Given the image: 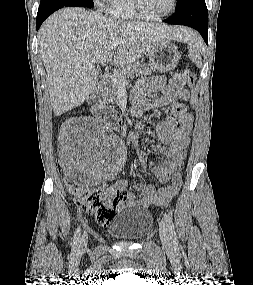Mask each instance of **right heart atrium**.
Returning a JSON list of instances; mask_svg holds the SVG:
<instances>
[{
	"label": "right heart atrium",
	"mask_w": 253,
	"mask_h": 285,
	"mask_svg": "<svg viewBox=\"0 0 253 285\" xmlns=\"http://www.w3.org/2000/svg\"><path fill=\"white\" fill-rule=\"evenodd\" d=\"M93 1L99 9L105 10L108 8L111 0H93Z\"/></svg>",
	"instance_id": "d8ad5b80"
}]
</instances>
